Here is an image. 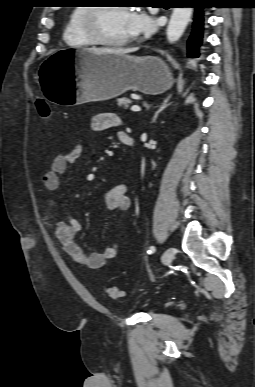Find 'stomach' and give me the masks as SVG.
<instances>
[{"label": "stomach", "mask_w": 255, "mask_h": 387, "mask_svg": "<svg viewBox=\"0 0 255 387\" xmlns=\"http://www.w3.org/2000/svg\"><path fill=\"white\" fill-rule=\"evenodd\" d=\"M36 82L59 108H83L84 102L114 98L132 89L157 95L173 84L158 57L98 54L81 46H64L41 60Z\"/></svg>", "instance_id": "0dacf381"}]
</instances>
